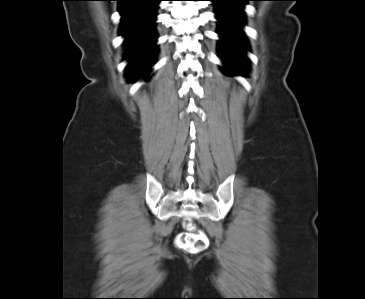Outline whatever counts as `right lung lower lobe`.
<instances>
[{
	"label": "right lung lower lobe",
	"instance_id": "right-lung-lower-lobe-1",
	"mask_svg": "<svg viewBox=\"0 0 365 299\" xmlns=\"http://www.w3.org/2000/svg\"><path fill=\"white\" fill-rule=\"evenodd\" d=\"M121 13L120 35L126 47L127 73H137V81L153 66L157 34L156 9L161 0H117Z\"/></svg>",
	"mask_w": 365,
	"mask_h": 299
}]
</instances>
